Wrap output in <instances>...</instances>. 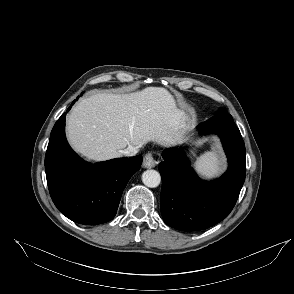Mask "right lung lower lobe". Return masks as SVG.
I'll list each match as a JSON object with an SVG mask.
<instances>
[{
  "label": "right lung lower lobe",
  "mask_w": 294,
  "mask_h": 294,
  "mask_svg": "<svg viewBox=\"0 0 294 294\" xmlns=\"http://www.w3.org/2000/svg\"><path fill=\"white\" fill-rule=\"evenodd\" d=\"M65 119L63 113L55 123L45 156L51 198L74 222L84 225L108 222L116 215L128 180L140 169L142 156L87 164L66 140Z\"/></svg>",
  "instance_id": "right-lung-lower-lobe-1"
}]
</instances>
